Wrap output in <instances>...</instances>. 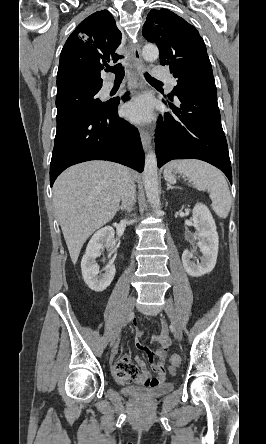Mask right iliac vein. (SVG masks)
Segmentation results:
<instances>
[{
  "instance_id": "obj_1",
  "label": "right iliac vein",
  "mask_w": 266,
  "mask_h": 444,
  "mask_svg": "<svg viewBox=\"0 0 266 444\" xmlns=\"http://www.w3.org/2000/svg\"><path fill=\"white\" fill-rule=\"evenodd\" d=\"M135 305V298L130 297L126 303L125 309L123 311L122 317L117 325V328L115 329L114 335L111 340V345L115 342V340L119 337L122 328L126 325L129 317L132 314V311L134 309Z\"/></svg>"
}]
</instances>
